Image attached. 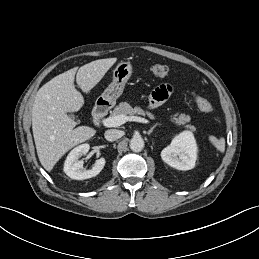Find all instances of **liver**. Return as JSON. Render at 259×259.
Instances as JSON below:
<instances>
[{
    "instance_id": "liver-1",
    "label": "liver",
    "mask_w": 259,
    "mask_h": 259,
    "mask_svg": "<svg viewBox=\"0 0 259 259\" xmlns=\"http://www.w3.org/2000/svg\"><path fill=\"white\" fill-rule=\"evenodd\" d=\"M117 58L92 61L72 68L51 79L37 92L32 108V131L37 155L44 169L50 172L59 159L74 146L91 139L96 130L77 123L67 115L84 105L74 80L88 94L104 77Z\"/></svg>"
}]
</instances>
